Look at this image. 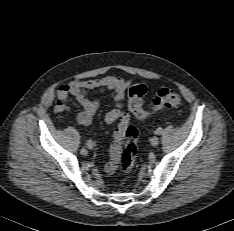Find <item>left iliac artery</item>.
<instances>
[{
  "label": "left iliac artery",
  "mask_w": 234,
  "mask_h": 231,
  "mask_svg": "<svg viewBox=\"0 0 234 231\" xmlns=\"http://www.w3.org/2000/svg\"><path fill=\"white\" fill-rule=\"evenodd\" d=\"M156 134L160 135L162 133V128H157V130L155 131Z\"/></svg>",
  "instance_id": "left-iliac-artery-1"
}]
</instances>
